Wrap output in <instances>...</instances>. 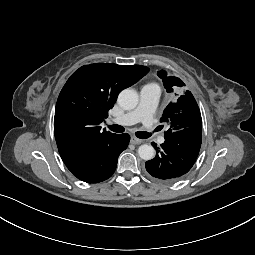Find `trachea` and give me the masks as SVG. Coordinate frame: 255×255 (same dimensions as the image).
<instances>
[{
	"instance_id": "trachea-1",
	"label": "trachea",
	"mask_w": 255,
	"mask_h": 255,
	"mask_svg": "<svg viewBox=\"0 0 255 255\" xmlns=\"http://www.w3.org/2000/svg\"><path fill=\"white\" fill-rule=\"evenodd\" d=\"M108 128L113 131V132H116V133H122L125 131L124 127L120 126V125H110L108 126ZM136 136L140 139H147L151 136L150 133L148 132H143V131H138L135 133Z\"/></svg>"
}]
</instances>
